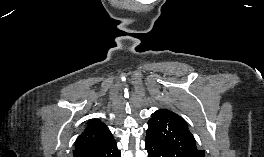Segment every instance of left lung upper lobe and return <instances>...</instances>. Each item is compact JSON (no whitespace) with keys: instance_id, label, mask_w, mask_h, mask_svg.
I'll return each instance as SVG.
<instances>
[{"instance_id":"1","label":"left lung upper lobe","mask_w":264,"mask_h":157,"mask_svg":"<svg viewBox=\"0 0 264 157\" xmlns=\"http://www.w3.org/2000/svg\"><path fill=\"white\" fill-rule=\"evenodd\" d=\"M146 141L161 146L167 157H205L204 150L197 149L186 121L167 109L153 113L148 121Z\"/></svg>"}]
</instances>
